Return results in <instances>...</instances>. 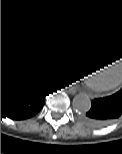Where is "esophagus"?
I'll return each instance as SVG.
<instances>
[{
	"mask_svg": "<svg viewBox=\"0 0 122 154\" xmlns=\"http://www.w3.org/2000/svg\"><path fill=\"white\" fill-rule=\"evenodd\" d=\"M67 91L69 94H75L77 91H79V89L76 87H68Z\"/></svg>",
	"mask_w": 122,
	"mask_h": 154,
	"instance_id": "1",
	"label": "esophagus"
}]
</instances>
